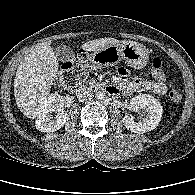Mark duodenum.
Wrapping results in <instances>:
<instances>
[{
    "mask_svg": "<svg viewBox=\"0 0 195 195\" xmlns=\"http://www.w3.org/2000/svg\"><path fill=\"white\" fill-rule=\"evenodd\" d=\"M86 85L82 82L76 83L75 85H73L71 87V91L74 94H81L86 90ZM105 90L107 93L111 94V95H115L117 93V89L114 86H106Z\"/></svg>",
    "mask_w": 195,
    "mask_h": 195,
    "instance_id": "duodenum-1",
    "label": "duodenum"
}]
</instances>
